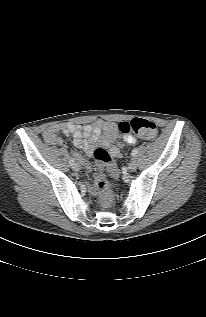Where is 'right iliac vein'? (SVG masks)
Segmentation results:
<instances>
[{
    "instance_id": "obj_1",
    "label": "right iliac vein",
    "mask_w": 206,
    "mask_h": 317,
    "mask_svg": "<svg viewBox=\"0 0 206 317\" xmlns=\"http://www.w3.org/2000/svg\"><path fill=\"white\" fill-rule=\"evenodd\" d=\"M73 170L74 171H79L80 170V165L75 163L73 166H72Z\"/></svg>"
}]
</instances>
